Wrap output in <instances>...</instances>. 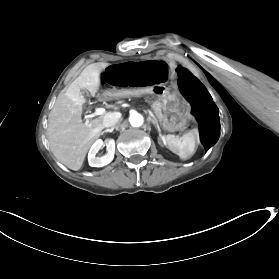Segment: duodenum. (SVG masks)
<instances>
[{"instance_id":"1","label":"duodenum","mask_w":279,"mask_h":279,"mask_svg":"<svg viewBox=\"0 0 279 279\" xmlns=\"http://www.w3.org/2000/svg\"><path fill=\"white\" fill-rule=\"evenodd\" d=\"M149 95V90L139 91V98H145ZM123 97H132V92H123V93H108L103 92L99 95V98H94V103H99V100H104L105 98H123ZM133 98H138V93H133Z\"/></svg>"}]
</instances>
